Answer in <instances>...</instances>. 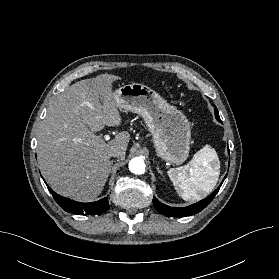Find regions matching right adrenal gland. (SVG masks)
Segmentation results:
<instances>
[{
	"label": "right adrenal gland",
	"instance_id": "2a0ac1e0",
	"mask_svg": "<svg viewBox=\"0 0 279 279\" xmlns=\"http://www.w3.org/2000/svg\"><path fill=\"white\" fill-rule=\"evenodd\" d=\"M113 162H114V161L112 160V161H111V165L113 164Z\"/></svg>",
	"mask_w": 279,
	"mask_h": 279
}]
</instances>
